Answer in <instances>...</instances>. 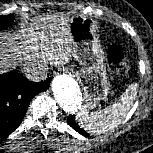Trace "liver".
Returning a JSON list of instances; mask_svg holds the SVG:
<instances>
[{
    "mask_svg": "<svg viewBox=\"0 0 153 153\" xmlns=\"http://www.w3.org/2000/svg\"><path fill=\"white\" fill-rule=\"evenodd\" d=\"M41 21L42 18L37 19ZM69 32V20L63 18L59 24L24 29L20 36L0 37V73L15 67L18 60L33 63L47 57L49 61L55 59L57 62L53 63L57 65L67 63L73 55Z\"/></svg>",
    "mask_w": 153,
    "mask_h": 153,
    "instance_id": "6515ba94",
    "label": "liver"
}]
</instances>
